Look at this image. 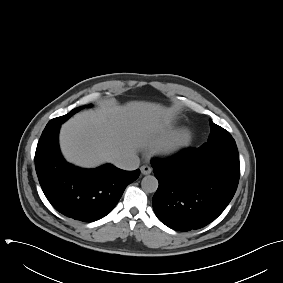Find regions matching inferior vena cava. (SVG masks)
Returning <instances> with one entry per match:
<instances>
[{
	"label": "inferior vena cava",
	"mask_w": 283,
	"mask_h": 283,
	"mask_svg": "<svg viewBox=\"0 0 283 283\" xmlns=\"http://www.w3.org/2000/svg\"><path fill=\"white\" fill-rule=\"evenodd\" d=\"M139 157L134 153L125 154L114 161V165L123 170H135L139 167Z\"/></svg>",
	"instance_id": "inferior-vena-cava-1"
}]
</instances>
